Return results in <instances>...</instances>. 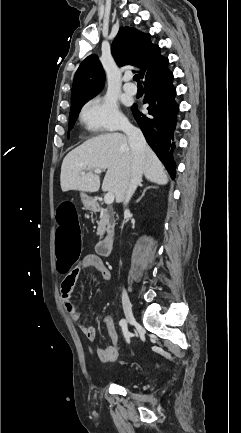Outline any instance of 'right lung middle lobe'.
I'll use <instances>...</instances> for the list:
<instances>
[{"mask_svg":"<svg viewBox=\"0 0 241 433\" xmlns=\"http://www.w3.org/2000/svg\"><path fill=\"white\" fill-rule=\"evenodd\" d=\"M89 99L86 100H81L79 101L76 105H74L73 107H71L70 110V114H69V130H71L74 127L75 121L79 115V112L81 110V107L88 101Z\"/></svg>","mask_w":241,"mask_h":433,"instance_id":"dd1d6c3e","label":"right lung middle lobe"}]
</instances>
